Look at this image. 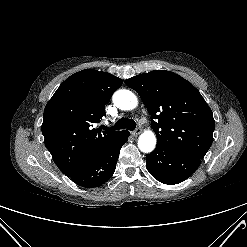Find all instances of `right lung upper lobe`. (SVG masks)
I'll list each match as a JSON object with an SVG mask.
<instances>
[{"label":"right lung upper lobe","instance_id":"cb5924a9","mask_svg":"<svg viewBox=\"0 0 247 247\" xmlns=\"http://www.w3.org/2000/svg\"><path fill=\"white\" fill-rule=\"evenodd\" d=\"M122 83L106 72L82 70L67 78L47 103L42 134L54 162L67 177L123 132L93 128Z\"/></svg>","mask_w":247,"mask_h":247}]
</instances>
